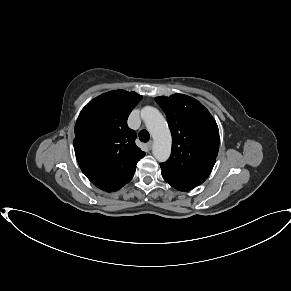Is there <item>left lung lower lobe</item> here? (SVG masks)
<instances>
[{"mask_svg":"<svg viewBox=\"0 0 291 291\" xmlns=\"http://www.w3.org/2000/svg\"><path fill=\"white\" fill-rule=\"evenodd\" d=\"M162 177L167 183H169L172 187L176 188L177 190L189 191L194 188L193 186L183 183L177 179H174L167 174L162 173Z\"/></svg>","mask_w":291,"mask_h":291,"instance_id":"obj_1","label":"left lung lower lobe"}]
</instances>
